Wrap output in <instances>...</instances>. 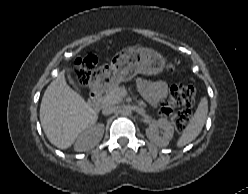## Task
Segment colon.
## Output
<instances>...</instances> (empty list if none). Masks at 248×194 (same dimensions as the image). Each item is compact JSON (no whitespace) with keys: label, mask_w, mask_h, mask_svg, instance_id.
Listing matches in <instances>:
<instances>
[{"label":"colon","mask_w":248,"mask_h":194,"mask_svg":"<svg viewBox=\"0 0 248 194\" xmlns=\"http://www.w3.org/2000/svg\"><path fill=\"white\" fill-rule=\"evenodd\" d=\"M167 69L174 72L178 63L176 60H166ZM96 60L89 56L78 61L74 68V77L78 85L86 86L95 73ZM196 90L193 85H174L169 98L161 106V114L168 117L178 131L187 128L191 119V108L195 105ZM182 107V109H178Z\"/></svg>","instance_id":"5ec220e1"}]
</instances>
